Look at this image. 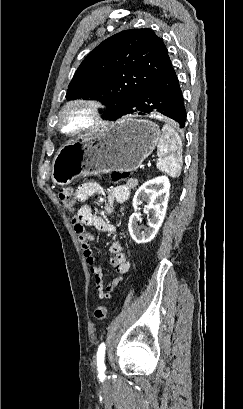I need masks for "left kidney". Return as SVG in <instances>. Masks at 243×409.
<instances>
[{
	"label": "left kidney",
	"mask_w": 243,
	"mask_h": 409,
	"mask_svg": "<svg viewBox=\"0 0 243 409\" xmlns=\"http://www.w3.org/2000/svg\"><path fill=\"white\" fill-rule=\"evenodd\" d=\"M170 182L167 176H159L145 182L136 191L133 198L134 213L129 218L128 229L132 239L140 244L151 241L161 227L169 199ZM142 202H146L147 209L151 211L148 219V228L141 231L138 225L141 215L137 211Z\"/></svg>",
	"instance_id": "5707ae66"
}]
</instances>
